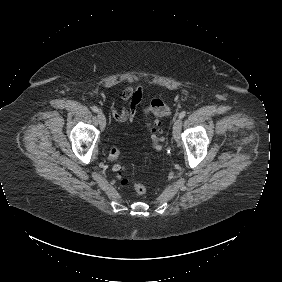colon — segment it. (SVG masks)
Returning <instances> with one entry per match:
<instances>
[{"mask_svg": "<svg viewBox=\"0 0 282 282\" xmlns=\"http://www.w3.org/2000/svg\"><path fill=\"white\" fill-rule=\"evenodd\" d=\"M154 112L157 115H164L167 117H172L175 114V109L172 106H167L164 102H157L154 105ZM149 133V140L151 144V148L154 151H158L162 147V141L163 138L161 134L159 133L158 129L155 127H149L148 129ZM120 155V151L117 147H112L109 151V158L113 162V170L117 174V177L120 179V182L122 184L129 183V178L125 177L123 175L124 172V166L117 162ZM135 193L138 196H143L147 192V187L143 183H136L133 186Z\"/></svg>", "mask_w": 282, "mask_h": 282, "instance_id": "obj_1", "label": "colon"}]
</instances>
